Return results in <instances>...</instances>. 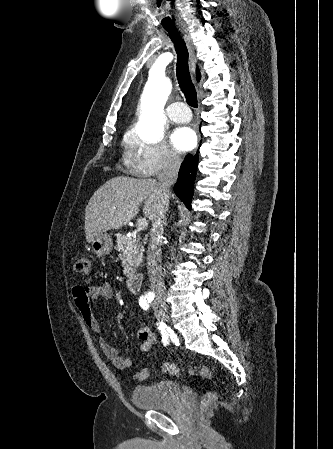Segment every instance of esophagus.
Returning <instances> with one entry per match:
<instances>
[{
	"instance_id": "1",
	"label": "esophagus",
	"mask_w": 333,
	"mask_h": 449,
	"mask_svg": "<svg viewBox=\"0 0 333 449\" xmlns=\"http://www.w3.org/2000/svg\"><path fill=\"white\" fill-rule=\"evenodd\" d=\"M184 38H185V40H186V42H187L188 49H189L191 70H192L193 72H195L196 61H195V57H194V52H193V49H192V47H191V44H190L188 35L184 34Z\"/></svg>"
}]
</instances>
